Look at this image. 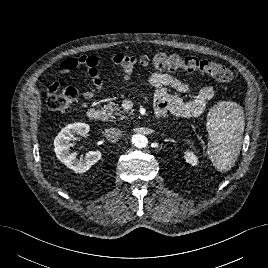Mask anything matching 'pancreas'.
<instances>
[{"label": "pancreas", "mask_w": 268, "mask_h": 268, "mask_svg": "<svg viewBox=\"0 0 268 268\" xmlns=\"http://www.w3.org/2000/svg\"><path fill=\"white\" fill-rule=\"evenodd\" d=\"M104 112H106L107 116L110 117L111 119H118L122 120L126 117V115H131L130 112L121 110V107H118L117 104L115 103H108L104 106L103 108Z\"/></svg>", "instance_id": "1"}]
</instances>
